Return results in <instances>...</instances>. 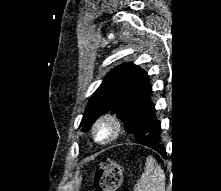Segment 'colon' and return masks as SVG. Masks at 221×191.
<instances>
[{
    "instance_id": "colon-1",
    "label": "colon",
    "mask_w": 221,
    "mask_h": 191,
    "mask_svg": "<svg viewBox=\"0 0 221 191\" xmlns=\"http://www.w3.org/2000/svg\"><path fill=\"white\" fill-rule=\"evenodd\" d=\"M122 180V166L112 158L105 157L99 163L95 176L97 191H117Z\"/></svg>"
}]
</instances>
